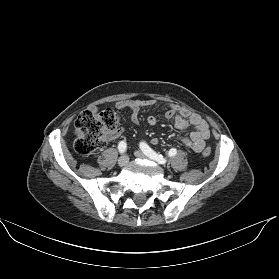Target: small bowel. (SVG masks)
Here are the masks:
<instances>
[{"label":"small bowel","mask_w":279,"mask_h":279,"mask_svg":"<svg viewBox=\"0 0 279 279\" xmlns=\"http://www.w3.org/2000/svg\"><path fill=\"white\" fill-rule=\"evenodd\" d=\"M157 101L150 100H121L116 103L117 108L119 109H129L132 111V122L135 124L139 123V112L141 109L156 105ZM165 117L168 120L174 122V125L179 130H185L188 127H192V131L189 136L182 139L183 144L195 151L201 152L205 146L206 141L210 137L209 126L207 122L200 117L199 115L184 109L180 108L175 104H168L164 108ZM147 123L150 126H154L157 123V118L155 116H149L147 118ZM122 133V129L115 130L110 135L112 138L119 136ZM153 144L157 143V139L152 140Z\"/></svg>","instance_id":"small-bowel-1"}]
</instances>
